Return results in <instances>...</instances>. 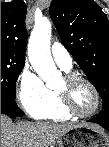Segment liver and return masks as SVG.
<instances>
[{"label": "liver", "instance_id": "1", "mask_svg": "<svg viewBox=\"0 0 109 147\" xmlns=\"http://www.w3.org/2000/svg\"><path fill=\"white\" fill-rule=\"evenodd\" d=\"M88 126L103 130L97 124H57L48 122H19L13 124L5 115L1 116V147H49L66 131Z\"/></svg>", "mask_w": 109, "mask_h": 147}]
</instances>
